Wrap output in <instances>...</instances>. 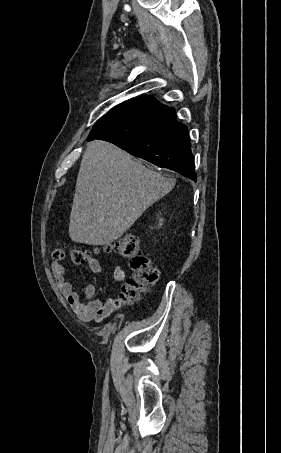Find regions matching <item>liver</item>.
<instances>
[{
	"label": "liver",
	"mask_w": 281,
	"mask_h": 453,
	"mask_svg": "<svg viewBox=\"0 0 281 453\" xmlns=\"http://www.w3.org/2000/svg\"><path fill=\"white\" fill-rule=\"evenodd\" d=\"M175 182L176 178L146 168L115 144L91 140L82 156L70 212L72 241L113 243Z\"/></svg>",
	"instance_id": "obj_1"
}]
</instances>
